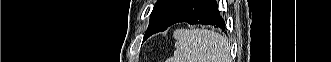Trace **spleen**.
Here are the masks:
<instances>
[{"label":"spleen","instance_id":"obj_1","mask_svg":"<svg viewBox=\"0 0 331 62\" xmlns=\"http://www.w3.org/2000/svg\"><path fill=\"white\" fill-rule=\"evenodd\" d=\"M174 57L169 62H230V46L219 33L202 29H179Z\"/></svg>","mask_w":331,"mask_h":62}]
</instances>
